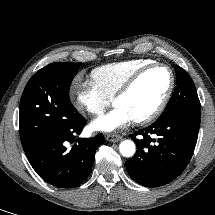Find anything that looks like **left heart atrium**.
Listing matches in <instances>:
<instances>
[{
    "label": "left heart atrium",
    "instance_id": "39dd6f15",
    "mask_svg": "<svg viewBox=\"0 0 215 215\" xmlns=\"http://www.w3.org/2000/svg\"><path fill=\"white\" fill-rule=\"evenodd\" d=\"M132 114L122 106H116L110 112L99 116L91 123L92 130L113 133L129 126L133 121Z\"/></svg>",
    "mask_w": 215,
    "mask_h": 215
}]
</instances>
